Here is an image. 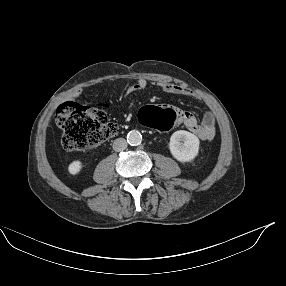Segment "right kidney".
I'll list each match as a JSON object with an SVG mask.
<instances>
[{"label": "right kidney", "mask_w": 286, "mask_h": 286, "mask_svg": "<svg viewBox=\"0 0 286 286\" xmlns=\"http://www.w3.org/2000/svg\"><path fill=\"white\" fill-rule=\"evenodd\" d=\"M82 167H83V164H82L81 161H78V160L77 161H73L69 165L68 171H69L70 174L76 175V174H78L81 171Z\"/></svg>", "instance_id": "obj_1"}]
</instances>
